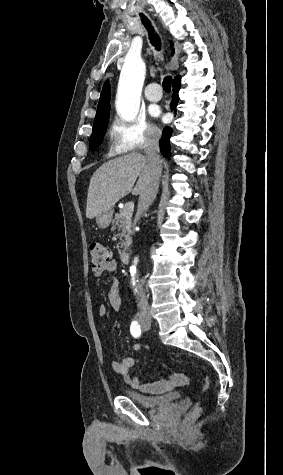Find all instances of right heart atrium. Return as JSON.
<instances>
[{
    "label": "right heart atrium",
    "mask_w": 283,
    "mask_h": 475,
    "mask_svg": "<svg viewBox=\"0 0 283 475\" xmlns=\"http://www.w3.org/2000/svg\"><path fill=\"white\" fill-rule=\"evenodd\" d=\"M160 139V130L143 116L131 120L114 117L108 129L106 150L110 157L116 158L117 155H142L155 149Z\"/></svg>",
    "instance_id": "1"
}]
</instances>
